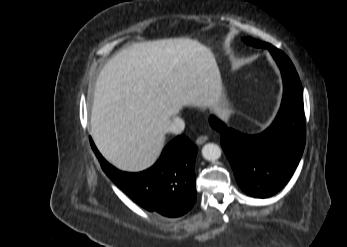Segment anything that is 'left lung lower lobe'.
<instances>
[{
	"instance_id": "obj_1",
	"label": "left lung lower lobe",
	"mask_w": 347,
	"mask_h": 247,
	"mask_svg": "<svg viewBox=\"0 0 347 247\" xmlns=\"http://www.w3.org/2000/svg\"><path fill=\"white\" fill-rule=\"evenodd\" d=\"M283 77L279 112L265 131L246 135L210 117L220 132L222 148L241 189L253 197L266 198L282 189L291 178L305 146L303 89L290 59L280 50H269Z\"/></svg>"
}]
</instances>
